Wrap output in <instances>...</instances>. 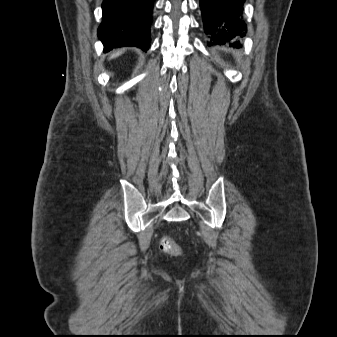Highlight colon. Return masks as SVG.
<instances>
[{"mask_svg":"<svg viewBox=\"0 0 337 337\" xmlns=\"http://www.w3.org/2000/svg\"><path fill=\"white\" fill-rule=\"evenodd\" d=\"M160 248L167 253H176L177 245L169 235H163L160 239Z\"/></svg>","mask_w":337,"mask_h":337,"instance_id":"1","label":"colon"}]
</instances>
